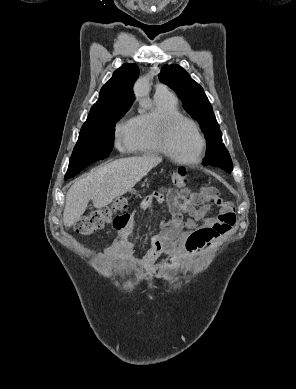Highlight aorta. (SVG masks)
<instances>
[{"instance_id": "aorta-1", "label": "aorta", "mask_w": 296, "mask_h": 389, "mask_svg": "<svg viewBox=\"0 0 296 389\" xmlns=\"http://www.w3.org/2000/svg\"><path fill=\"white\" fill-rule=\"evenodd\" d=\"M149 85V76H143L138 79L134 86L135 95L141 100H146L149 93Z\"/></svg>"}]
</instances>
